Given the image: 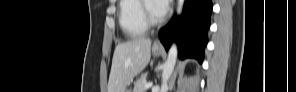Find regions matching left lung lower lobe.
<instances>
[{
  "mask_svg": "<svg viewBox=\"0 0 296 92\" xmlns=\"http://www.w3.org/2000/svg\"><path fill=\"white\" fill-rule=\"evenodd\" d=\"M211 11V0H186L181 17L174 16L159 32L160 41L166 50L176 40L180 58L194 57L202 62Z\"/></svg>",
  "mask_w": 296,
  "mask_h": 92,
  "instance_id": "left-lung-lower-lobe-1",
  "label": "left lung lower lobe"
}]
</instances>
